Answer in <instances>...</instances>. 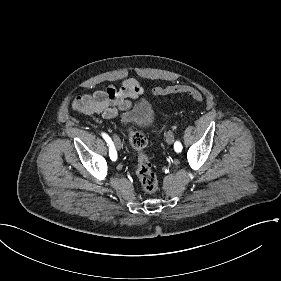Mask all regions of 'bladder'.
Wrapping results in <instances>:
<instances>
[{
  "mask_svg": "<svg viewBox=\"0 0 281 281\" xmlns=\"http://www.w3.org/2000/svg\"><path fill=\"white\" fill-rule=\"evenodd\" d=\"M118 122L125 134L131 135L133 131H151L157 123V116L150 99L144 97L121 110Z\"/></svg>",
  "mask_w": 281,
  "mask_h": 281,
  "instance_id": "31cf9c89",
  "label": "bladder"
}]
</instances>
